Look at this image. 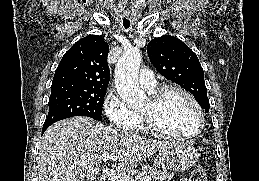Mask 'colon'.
Instances as JSON below:
<instances>
[{"label": "colon", "instance_id": "colon-1", "mask_svg": "<svg viewBox=\"0 0 259 181\" xmlns=\"http://www.w3.org/2000/svg\"><path fill=\"white\" fill-rule=\"evenodd\" d=\"M189 181H207L205 168L201 165L194 167L190 174Z\"/></svg>", "mask_w": 259, "mask_h": 181}]
</instances>
